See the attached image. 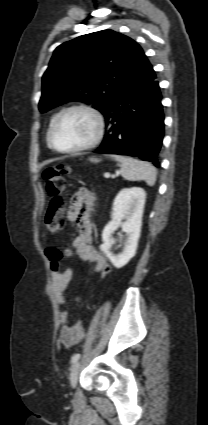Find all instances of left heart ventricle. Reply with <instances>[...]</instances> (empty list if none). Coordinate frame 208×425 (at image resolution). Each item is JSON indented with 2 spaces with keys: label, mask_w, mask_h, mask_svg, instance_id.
I'll return each instance as SVG.
<instances>
[{
  "label": "left heart ventricle",
  "mask_w": 208,
  "mask_h": 425,
  "mask_svg": "<svg viewBox=\"0 0 208 425\" xmlns=\"http://www.w3.org/2000/svg\"><path fill=\"white\" fill-rule=\"evenodd\" d=\"M95 131V121L89 114L74 111L60 120L55 128L53 141L61 149L75 148L88 143Z\"/></svg>",
  "instance_id": "1"
}]
</instances>
